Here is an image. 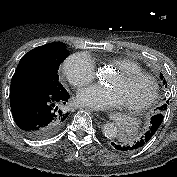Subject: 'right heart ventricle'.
Segmentation results:
<instances>
[{
	"label": "right heart ventricle",
	"instance_id": "e07e8e85",
	"mask_svg": "<svg viewBox=\"0 0 177 177\" xmlns=\"http://www.w3.org/2000/svg\"><path fill=\"white\" fill-rule=\"evenodd\" d=\"M109 64L114 65L120 72H142V67L134 60L129 58H115L109 60Z\"/></svg>",
	"mask_w": 177,
	"mask_h": 177
}]
</instances>
